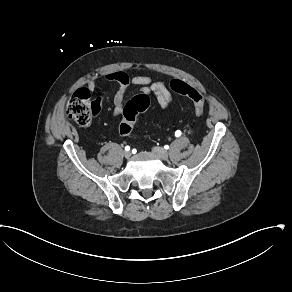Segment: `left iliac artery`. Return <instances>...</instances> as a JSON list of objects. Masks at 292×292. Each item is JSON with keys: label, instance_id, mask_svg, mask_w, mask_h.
<instances>
[{"label": "left iliac artery", "instance_id": "left-iliac-artery-1", "mask_svg": "<svg viewBox=\"0 0 292 292\" xmlns=\"http://www.w3.org/2000/svg\"><path fill=\"white\" fill-rule=\"evenodd\" d=\"M175 136H176V137H180V136H181V131H180V130H177V131L175 132Z\"/></svg>", "mask_w": 292, "mask_h": 292}]
</instances>
